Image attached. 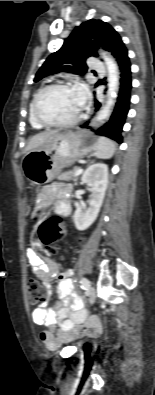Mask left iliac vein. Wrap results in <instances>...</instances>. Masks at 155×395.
<instances>
[{"instance_id":"obj_1","label":"left iliac vein","mask_w":155,"mask_h":395,"mask_svg":"<svg viewBox=\"0 0 155 395\" xmlns=\"http://www.w3.org/2000/svg\"><path fill=\"white\" fill-rule=\"evenodd\" d=\"M88 294H89L88 301H89L90 304H93L95 302V300H96V291H95V288L93 286H91L89 288Z\"/></svg>"}]
</instances>
